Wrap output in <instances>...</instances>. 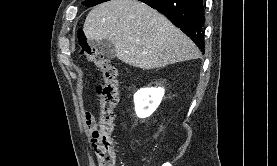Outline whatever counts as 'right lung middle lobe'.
<instances>
[{
  "label": "right lung middle lobe",
  "mask_w": 277,
  "mask_h": 166,
  "mask_svg": "<svg viewBox=\"0 0 277 166\" xmlns=\"http://www.w3.org/2000/svg\"><path fill=\"white\" fill-rule=\"evenodd\" d=\"M108 0H85L82 4L86 7H92Z\"/></svg>",
  "instance_id": "obj_1"
}]
</instances>
